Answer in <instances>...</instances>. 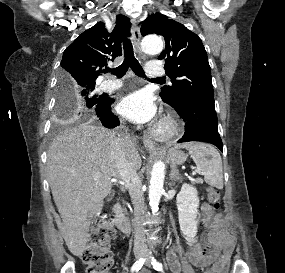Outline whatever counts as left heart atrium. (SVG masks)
Masks as SVG:
<instances>
[{"label": "left heart atrium", "mask_w": 285, "mask_h": 273, "mask_svg": "<svg viewBox=\"0 0 285 273\" xmlns=\"http://www.w3.org/2000/svg\"><path fill=\"white\" fill-rule=\"evenodd\" d=\"M118 111L135 123L145 124L153 121L156 108L147 94L134 92L120 101Z\"/></svg>", "instance_id": "39dd6f15"}]
</instances>
